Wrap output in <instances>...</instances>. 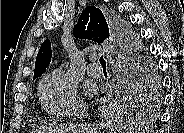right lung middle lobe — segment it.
<instances>
[{
    "label": "right lung middle lobe",
    "instance_id": "right-lung-middle-lobe-1",
    "mask_svg": "<svg viewBox=\"0 0 184 133\" xmlns=\"http://www.w3.org/2000/svg\"><path fill=\"white\" fill-rule=\"evenodd\" d=\"M125 26L131 45L134 46L129 55L128 77L126 81L125 102L131 109L146 107L150 103L153 89L158 81L156 77L155 65L146 56H143L142 48L138 44V39L130 25L121 20Z\"/></svg>",
    "mask_w": 184,
    "mask_h": 133
}]
</instances>
